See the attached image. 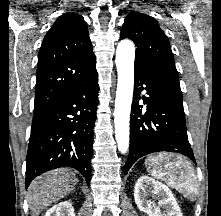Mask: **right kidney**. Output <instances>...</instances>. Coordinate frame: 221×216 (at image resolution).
I'll return each mask as SVG.
<instances>
[{
	"label": "right kidney",
	"mask_w": 221,
	"mask_h": 216,
	"mask_svg": "<svg viewBox=\"0 0 221 216\" xmlns=\"http://www.w3.org/2000/svg\"><path fill=\"white\" fill-rule=\"evenodd\" d=\"M44 216H75L74 208L68 201L51 207Z\"/></svg>",
	"instance_id": "1"
}]
</instances>
